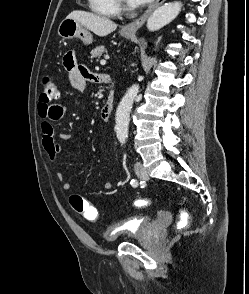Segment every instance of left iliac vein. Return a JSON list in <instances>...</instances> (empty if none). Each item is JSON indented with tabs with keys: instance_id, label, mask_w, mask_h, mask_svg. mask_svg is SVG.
<instances>
[{
	"instance_id": "1",
	"label": "left iliac vein",
	"mask_w": 249,
	"mask_h": 294,
	"mask_svg": "<svg viewBox=\"0 0 249 294\" xmlns=\"http://www.w3.org/2000/svg\"><path fill=\"white\" fill-rule=\"evenodd\" d=\"M134 170H135V173L139 179H141V180H148L149 179V175H148L146 169L144 168V166L140 162H138V161L135 162Z\"/></svg>"
}]
</instances>
